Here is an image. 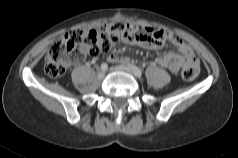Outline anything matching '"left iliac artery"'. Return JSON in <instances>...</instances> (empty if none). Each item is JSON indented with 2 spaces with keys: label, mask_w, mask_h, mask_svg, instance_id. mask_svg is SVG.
<instances>
[{
  "label": "left iliac artery",
  "mask_w": 238,
  "mask_h": 158,
  "mask_svg": "<svg viewBox=\"0 0 238 158\" xmlns=\"http://www.w3.org/2000/svg\"><path fill=\"white\" fill-rule=\"evenodd\" d=\"M127 67L133 72V74L137 77H141L142 76V71L136 67L135 65L132 64H127Z\"/></svg>",
  "instance_id": "obj_1"
}]
</instances>
